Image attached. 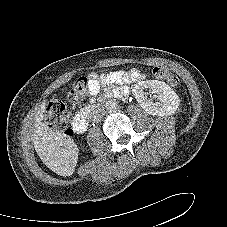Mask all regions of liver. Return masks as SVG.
Here are the masks:
<instances>
[{
	"label": "liver",
	"instance_id": "1",
	"mask_svg": "<svg viewBox=\"0 0 227 227\" xmlns=\"http://www.w3.org/2000/svg\"><path fill=\"white\" fill-rule=\"evenodd\" d=\"M46 101L35 117L33 143L42 162L61 176L73 174L78 159V148L74 140L60 132H54L43 123Z\"/></svg>",
	"mask_w": 227,
	"mask_h": 227
}]
</instances>
